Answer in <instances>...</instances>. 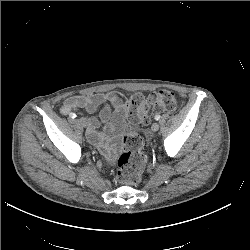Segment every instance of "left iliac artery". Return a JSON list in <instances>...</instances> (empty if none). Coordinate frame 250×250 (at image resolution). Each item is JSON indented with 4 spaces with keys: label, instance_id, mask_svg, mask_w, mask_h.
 Listing matches in <instances>:
<instances>
[{
    "label": "left iliac artery",
    "instance_id": "left-iliac-artery-1",
    "mask_svg": "<svg viewBox=\"0 0 250 250\" xmlns=\"http://www.w3.org/2000/svg\"><path fill=\"white\" fill-rule=\"evenodd\" d=\"M154 119L158 121L160 119V115H155Z\"/></svg>",
    "mask_w": 250,
    "mask_h": 250
}]
</instances>
